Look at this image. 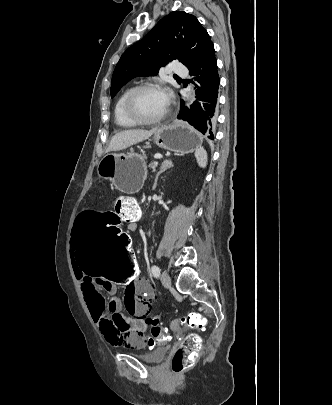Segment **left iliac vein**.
<instances>
[{
    "label": "left iliac vein",
    "mask_w": 332,
    "mask_h": 405,
    "mask_svg": "<svg viewBox=\"0 0 332 405\" xmlns=\"http://www.w3.org/2000/svg\"><path fill=\"white\" fill-rule=\"evenodd\" d=\"M160 279H161L162 284L166 288H169L171 286V278H170L168 273L162 272L161 275H160Z\"/></svg>",
    "instance_id": "obj_1"
}]
</instances>
